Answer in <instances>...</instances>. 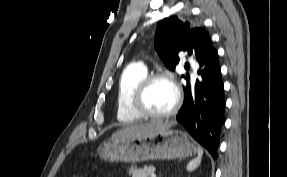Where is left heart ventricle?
<instances>
[{
  "label": "left heart ventricle",
  "instance_id": "1",
  "mask_svg": "<svg viewBox=\"0 0 287 177\" xmlns=\"http://www.w3.org/2000/svg\"><path fill=\"white\" fill-rule=\"evenodd\" d=\"M175 93L171 85L165 81H156L148 89L144 97V106L153 113L168 111L174 104Z\"/></svg>",
  "mask_w": 287,
  "mask_h": 177
}]
</instances>
